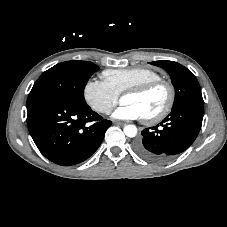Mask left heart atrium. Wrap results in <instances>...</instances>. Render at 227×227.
Segmentation results:
<instances>
[{"label": "left heart atrium", "instance_id": "39dd6f15", "mask_svg": "<svg viewBox=\"0 0 227 227\" xmlns=\"http://www.w3.org/2000/svg\"><path fill=\"white\" fill-rule=\"evenodd\" d=\"M112 117L119 120H135L143 118V115L135 105L123 103L115 109Z\"/></svg>", "mask_w": 227, "mask_h": 227}]
</instances>
